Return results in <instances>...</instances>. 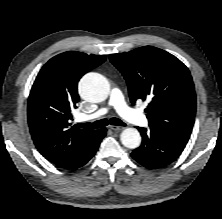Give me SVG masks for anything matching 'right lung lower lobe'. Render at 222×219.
Wrapping results in <instances>:
<instances>
[{
  "label": "right lung lower lobe",
  "instance_id": "1",
  "mask_svg": "<svg viewBox=\"0 0 222 219\" xmlns=\"http://www.w3.org/2000/svg\"><path fill=\"white\" fill-rule=\"evenodd\" d=\"M106 135V128H102L96 131L93 138L88 142L86 147L80 153V155L76 158V160L66 169L75 170L79 167L85 165L96 153L100 142Z\"/></svg>",
  "mask_w": 222,
  "mask_h": 219
}]
</instances>
